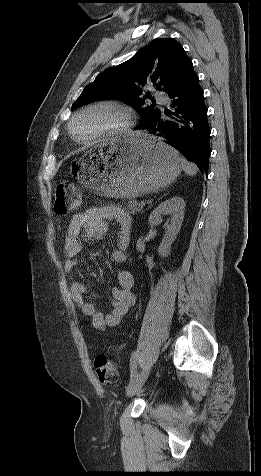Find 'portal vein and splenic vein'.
I'll use <instances>...</instances> for the list:
<instances>
[{
  "label": "portal vein and splenic vein",
  "instance_id": "obj_1",
  "mask_svg": "<svg viewBox=\"0 0 261 476\" xmlns=\"http://www.w3.org/2000/svg\"><path fill=\"white\" fill-rule=\"evenodd\" d=\"M145 204H146V202H145L144 200H142V201L140 202V205H141V206H144Z\"/></svg>",
  "mask_w": 261,
  "mask_h": 476
}]
</instances>
